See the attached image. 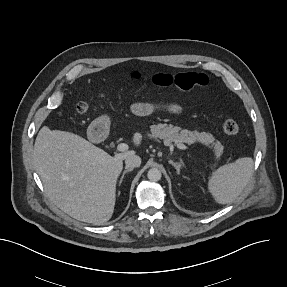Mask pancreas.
<instances>
[{
    "label": "pancreas",
    "instance_id": "pancreas-1",
    "mask_svg": "<svg viewBox=\"0 0 287 287\" xmlns=\"http://www.w3.org/2000/svg\"><path fill=\"white\" fill-rule=\"evenodd\" d=\"M151 133L152 134H148L149 137L163 139L166 144L174 142L175 144L188 143L191 145L195 142H199L206 147L213 149L216 157H218L223 151L221 143L219 141H215L214 136L210 133L199 132L197 130H181L180 127H174L173 125L167 124L152 125Z\"/></svg>",
    "mask_w": 287,
    "mask_h": 287
}]
</instances>
